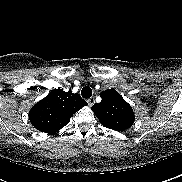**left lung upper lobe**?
Listing matches in <instances>:
<instances>
[{
    "mask_svg": "<svg viewBox=\"0 0 182 182\" xmlns=\"http://www.w3.org/2000/svg\"><path fill=\"white\" fill-rule=\"evenodd\" d=\"M100 96L101 102L95 103L92 111L103 126L124 131L133 125V109L115 89H107Z\"/></svg>",
    "mask_w": 182,
    "mask_h": 182,
    "instance_id": "1",
    "label": "left lung upper lobe"
}]
</instances>
